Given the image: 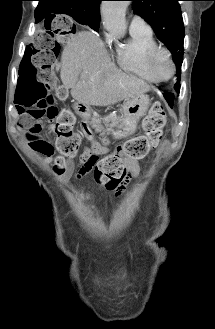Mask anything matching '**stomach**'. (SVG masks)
I'll return each instance as SVG.
<instances>
[{"label": "stomach", "mask_w": 215, "mask_h": 329, "mask_svg": "<svg viewBox=\"0 0 215 329\" xmlns=\"http://www.w3.org/2000/svg\"><path fill=\"white\" fill-rule=\"evenodd\" d=\"M149 105V97L144 94L136 95L126 100L123 104L121 122L111 132V135L115 139H122L134 134L139 120L146 114ZM73 108L78 115L85 119L91 116L92 109L89 105L77 102L74 104Z\"/></svg>", "instance_id": "0dacf381"}]
</instances>
